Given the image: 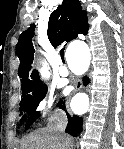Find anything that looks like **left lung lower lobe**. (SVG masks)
Returning a JSON list of instances; mask_svg holds the SVG:
<instances>
[{
  "mask_svg": "<svg viewBox=\"0 0 124 149\" xmlns=\"http://www.w3.org/2000/svg\"><path fill=\"white\" fill-rule=\"evenodd\" d=\"M88 83V78H84V84L86 85Z\"/></svg>",
  "mask_w": 124,
  "mask_h": 149,
  "instance_id": "obj_1",
  "label": "left lung lower lobe"
}]
</instances>
